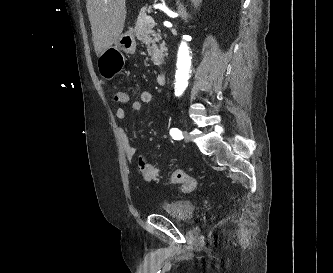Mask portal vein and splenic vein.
<instances>
[{"label":"portal vein and splenic vein","instance_id":"18ae733b","mask_svg":"<svg viewBox=\"0 0 333 273\" xmlns=\"http://www.w3.org/2000/svg\"><path fill=\"white\" fill-rule=\"evenodd\" d=\"M146 22L152 26H154V24H155L154 19L151 16L146 17Z\"/></svg>","mask_w":333,"mask_h":273}]
</instances>
